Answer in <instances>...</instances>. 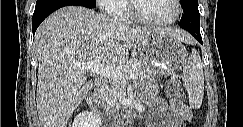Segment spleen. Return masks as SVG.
Listing matches in <instances>:
<instances>
[{
	"label": "spleen",
	"instance_id": "spleen-1",
	"mask_svg": "<svg viewBox=\"0 0 243 127\" xmlns=\"http://www.w3.org/2000/svg\"><path fill=\"white\" fill-rule=\"evenodd\" d=\"M182 79L187 89L191 107L200 108L204 95L203 63L196 50H192L186 66L183 68Z\"/></svg>",
	"mask_w": 243,
	"mask_h": 127
}]
</instances>
